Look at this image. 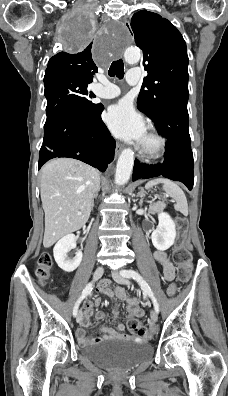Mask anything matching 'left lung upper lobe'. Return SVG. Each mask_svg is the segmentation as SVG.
I'll return each instance as SVG.
<instances>
[{
  "label": "left lung upper lobe",
  "mask_w": 228,
  "mask_h": 396,
  "mask_svg": "<svg viewBox=\"0 0 228 396\" xmlns=\"http://www.w3.org/2000/svg\"><path fill=\"white\" fill-rule=\"evenodd\" d=\"M135 42L143 50L148 75L138 96V109L153 121L166 105L188 100V55L178 29L160 15L141 10L132 17Z\"/></svg>",
  "instance_id": "5c2ea615"
}]
</instances>
